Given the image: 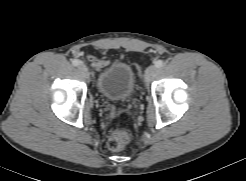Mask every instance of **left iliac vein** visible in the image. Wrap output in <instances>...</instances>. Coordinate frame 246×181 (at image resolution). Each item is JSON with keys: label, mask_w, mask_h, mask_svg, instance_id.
I'll use <instances>...</instances> for the list:
<instances>
[{"label": "left iliac vein", "mask_w": 246, "mask_h": 181, "mask_svg": "<svg viewBox=\"0 0 246 181\" xmlns=\"http://www.w3.org/2000/svg\"><path fill=\"white\" fill-rule=\"evenodd\" d=\"M157 72H158V68L155 65L149 66L145 71V75H144L145 81L148 83L152 81V79L155 77Z\"/></svg>", "instance_id": "1"}]
</instances>
